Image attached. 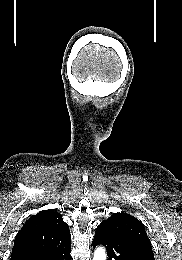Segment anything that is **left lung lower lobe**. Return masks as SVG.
I'll return each instance as SVG.
<instances>
[{
  "label": "left lung lower lobe",
  "instance_id": "left-lung-lower-lobe-1",
  "mask_svg": "<svg viewBox=\"0 0 182 260\" xmlns=\"http://www.w3.org/2000/svg\"><path fill=\"white\" fill-rule=\"evenodd\" d=\"M92 245L105 246L108 260H155L151 247L101 227L96 229Z\"/></svg>",
  "mask_w": 182,
  "mask_h": 260
}]
</instances>
